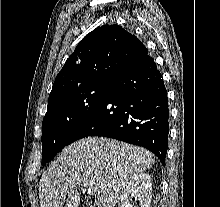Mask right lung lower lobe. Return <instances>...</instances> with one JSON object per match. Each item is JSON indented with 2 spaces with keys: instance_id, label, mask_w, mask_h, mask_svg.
I'll return each instance as SVG.
<instances>
[{
  "instance_id": "98d812e1",
  "label": "right lung lower lobe",
  "mask_w": 220,
  "mask_h": 207,
  "mask_svg": "<svg viewBox=\"0 0 220 207\" xmlns=\"http://www.w3.org/2000/svg\"><path fill=\"white\" fill-rule=\"evenodd\" d=\"M168 118L162 75L145 55L108 82L100 103L75 130L69 144L88 136L114 138L152 151L163 164Z\"/></svg>"
}]
</instances>
